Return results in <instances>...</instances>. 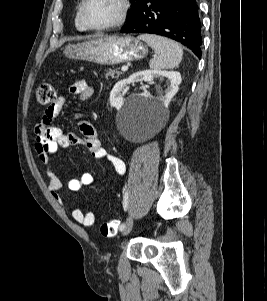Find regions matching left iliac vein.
<instances>
[{"instance_id": "1", "label": "left iliac vein", "mask_w": 267, "mask_h": 301, "mask_svg": "<svg viewBox=\"0 0 267 301\" xmlns=\"http://www.w3.org/2000/svg\"><path fill=\"white\" fill-rule=\"evenodd\" d=\"M132 228H133V218L130 217V218L127 220V222L125 223V227H124V229L122 230V234H123V235L129 234V233L131 232Z\"/></svg>"}]
</instances>
